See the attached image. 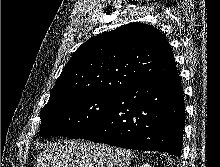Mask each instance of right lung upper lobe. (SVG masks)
Wrapping results in <instances>:
<instances>
[{
	"instance_id": "obj_1",
	"label": "right lung upper lobe",
	"mask_w": 220,
	"mask_h": 167,
	"mask_svg": "<svg viewBox=\"0 0 220 167\" xmlns=\"http://www.w3.org/2000/svg\"><path fill=\"white\" fill-rule=\"evenodd\" d=\"M175 70L164 34L134 22L82 44L56 80L49 100L82 92L118 94Z\"/></svg>"
}]
</instances>
